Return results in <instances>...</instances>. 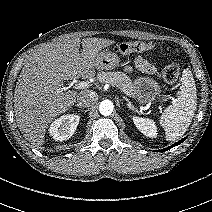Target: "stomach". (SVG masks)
<instances>
[{
  "label": "stomach",
  "mask_w": 212,
  "mask_h": 212,
  "mask_svg": "<svg viewBox=\"0 0 212 212\" xmlns=\"http://www.w3.org/2000/svg\"><path fill=\"white\" fill-rule=\"evenodd\" d=\"M121 59L117 53L109 49L101 51L96 58L99 70H110L120 66ZM133 91L130 96L140 106L155 104L164 99L160 84L149 76H138L132 83Z\"/></svg>",
  "instance_id": "1"
}]
</instances>
